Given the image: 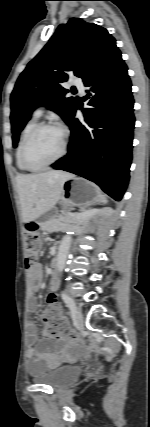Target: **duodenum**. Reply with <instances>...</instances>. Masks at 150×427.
Masks as SVG:
<instances>
[{
    "label": "duodenum",
    "mask_w": 150,
    "mask_h": 427,
    "mask_svg": "<svg viewBox=\"0 0 150 427\" xmlns=\"http://www.w3.org/2000/svg\"><path fill=\"white\" fill-rule=\"evenodd\" d=\"M56 266H57V259H54L53 262H52V267L56 268Z\"/></svg>",
    "instance_id": "duodenum-1"
}]
</instances>
